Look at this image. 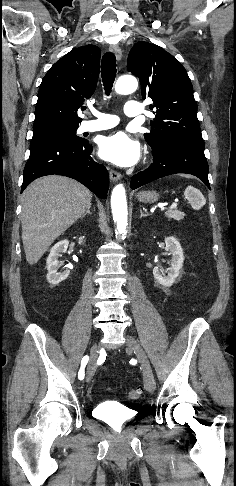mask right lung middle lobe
I'll use <instances>...</instances> for the list:
<instances>
[{
  "mask_svg": "<svg viewBox=\"0 0 236 486\" xmlns=\"http://www.w3.org/2000/svg\"><path fill=\"white\" fill-rule=\"evenodd\" d=\"M79 124L72 123H47L33 126V137H56L67 141H80L81 138L76 136V130Z\"/></svg>",
  "mask_w": 236,
  "mask_h": 486,
  "instance_id": "dd1d6c3e",
  "label": "right lung middle lobe"
}]
</instances>
